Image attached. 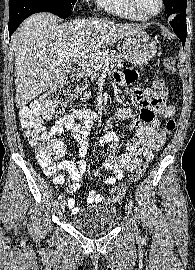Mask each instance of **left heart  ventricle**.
<instances>
[{"mask_svg":"<svg viewBox=\"0 0 195 270\" xmlns=\"http://www.w3.org/2000/svg\"><path fill=\"white\" fill-rule=\"evenodd\" d=\"M139 9L145 14L155 13L159 9V0H136Z\"/></svg>","mask_w":195,"mask_h":270,"instance_id":"left-heart-ventricle-1","label":"left heart ventricle"}]
</instances>
